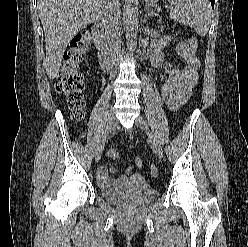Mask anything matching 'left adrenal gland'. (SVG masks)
<instances>
[{
    "mask_svg": "<svg viewBox=\"0 0 248 247\" xmlns=\"http://www.w3.org/2000/svg\"><path fill=\"white\" fill-rule=\"evenodd\" d=\"M144 10L146 11V14H145L146 20H147L149 17H152L154 14L156 15V13H154V11H153V10H150L148 7H145Z\"/></svg>",
    "mask_w": 248,
    "mask_h": 247,
    "instance_id": "a2214340",
    "label": "left adrenal gland"
}]
</instances>
